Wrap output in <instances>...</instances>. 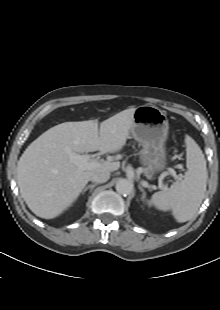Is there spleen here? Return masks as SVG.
<instances>
[{
    "instance_id": "spleen-1",
    "label": "spleen",
    "mask_w": 220,
    "mask_h": 310,
    "mask_svg": "<svg viewBox=\"0 0 220 310\" xmlns=\"http://www.w3.org/2000/svg\"><path fill=\"white\" fill-rule=\"evenodd\" d=\"M185 142L187 171L184 179L166 191L155 193L150 200V204L159 210H171L178 222H186L195 215L204 198L208 179L202 150L190 136H186Z\"/></svg>"
}]
</instances>
